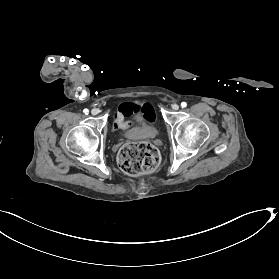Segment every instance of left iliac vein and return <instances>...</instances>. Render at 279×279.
Wrapping results in <instances>:
<instances>
[{
	"label": "left iliac vein",
	"mask_w": 279,
	"mask_h": 279,
	"mask_svg": "<svg viewBox=\"0 0 279 279\" xmlns=\"http://www.w3.org/2000/svg\"><path fill=\"white\" fill-rule=\"evenodd\" d=\"M172 109H173V110H178V109H179V105L173 104V105H172Z\"/></svg>",
	"instance_id": "obj_1"
}]
</instances>
